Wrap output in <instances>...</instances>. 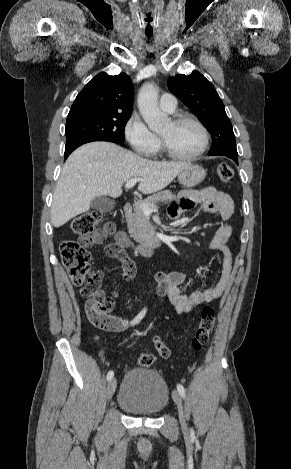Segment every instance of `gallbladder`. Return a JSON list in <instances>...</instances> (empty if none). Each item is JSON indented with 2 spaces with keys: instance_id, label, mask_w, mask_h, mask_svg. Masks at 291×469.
Wrapping results in <instances>:
<instances>
[{
  "instance_id": "obj_1",
  "label": "gallbladder",
  "mask_w": 291,
  "mask_h": 469,
  "mask_svg": "<svg viewBox=\"0 0 291 469\" xmlns=\"http://www.w3.org/2000/svg\"><path fill=\"white\" fill-rule=\"evenodd\" d=\"M114 207L115 202L106 196L96 197L91 202V208L99 212H110Z\"/></svg>"
}]
</instances>
